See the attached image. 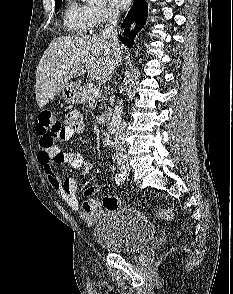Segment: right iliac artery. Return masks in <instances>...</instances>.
Listing matches in <instances>:
<instances>
[{"label": "right iliac artery", "instance_id": "1", "mask_svg": "<svg viewBox=\"0 0 233 294\" xmlns=\"http://www.w3.org/2000/svg\"><path fill=\"white\" fill-rule=\"evenodd\" d=\"M115 182L117 184H123L125 182L124 175L123 174H120V173L116 174V176H115Z\"/></svg>", "mask_w": 233, "mask_h": 294}]
</instances>
